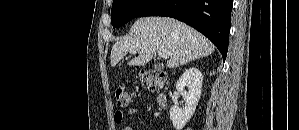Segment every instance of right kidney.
<instances>
[{
	"label": "right kidney",
	"instance_id": "obj_1",
	"mask_svg": "<svg viewBox=\"0 0 299 130\" xmlns=\"http://www.w3.org/2000/svg\"><path fill=\"white\" fill-rule=\"evenodd\" d=\"M202 80L201 72L196 67H191L177 81L176 89L185 100V108L181 109L177 105L170 108V120L176 130H181L193 116L201 96Z\"/></svg>",
	"mask_w": 299,
	"mask_h": 130
}]
</instances>
